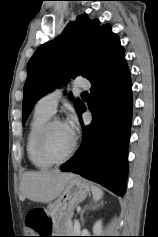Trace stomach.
Returning <instances> with one entry per match:
<instances>
[{
  "mask_svg": "<svg viewBox=\"0 0 158 237\" xmlns=\"http://www.w3.org/2000/svg\"><path fill=\"white\" fill-rule=\"evenodd\" d=\"M89 192L90 187L83 179L76 176L72 178L46 210L48 216L55 222L54 226H57L62 218L72 215L75 207L86 199Z\"/></svg>",
  "mask_w": 158,
  "mask_h": 237,
  "instance_id": "1",
  "label": "stomach"
}]
</instances>
